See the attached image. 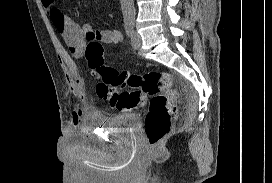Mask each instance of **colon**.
I'll use <instances>...</instances> for the list:
<instances>
[{"mask_svg": "<svg viewBox=\"0 0 272 183\" xmlns=\"http://www.w3.org/2000/svg\"><path fill=\"white\" fill-rule=\"evenodd\" d=\"M103 50L101 43L93 41L84 51L87 66L97 81L99 98L119 111H128L141 107L150 97L145 134L150 145H157L170 132L177 114L178 94L172 76L161 71H149L143 75L119 72L104 65Z\"/></svg>", "mask_w": 272, "mask_h": 183, "instance_id": "obj_1", "label": "colon"}]
</instances>
